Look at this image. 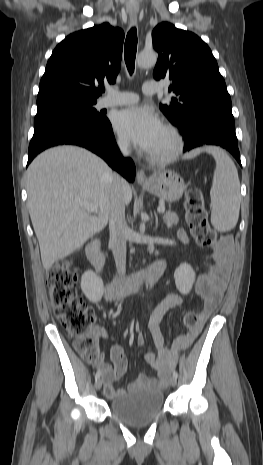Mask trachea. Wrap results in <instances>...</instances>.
<instances>
[{"label":"trachea","instance_id":"3493384b","mask_svg":"<svg viewBox=\"0 0 263 465\" xmlns=\"http://www.w3.org/2000/svg\"><path fill=\"white\" fill-rule=\"evenodd\" d=\"M137 51V30L135 27L131 28L127 34L124 45V58L127 69L130 74L134 72L135 58Z\"/></svg>","mask_w":263,"mask_h":465}]
</instances>
